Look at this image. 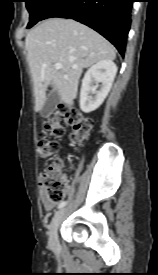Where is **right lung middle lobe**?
I'll return each mask as SVG.
<instances>
[{
	"instance_id": "right-lung-middle-lobe-1",
	"label": "right lung middle lobe",
	"mask_w": 158,
	"mask_h": 275,
	"mask_svg": "<svg viewBox=\"0 0 158 275\" xmlns=\"http://www.w3.org/2000/svg\"><path fill=\"white\" fill-rule=\"evenodd\" d=\"M26 7L30 13L27 28H31L41 20L45 12L56 2V0H25Z\"/></svg>"
}]
</instances>
